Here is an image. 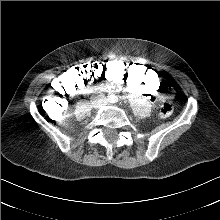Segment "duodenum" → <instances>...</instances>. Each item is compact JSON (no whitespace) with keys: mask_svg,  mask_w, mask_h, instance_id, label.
I'll list each match as a JSON object with an SVG mask.
<instances>
[{"mask_svg":"<svg viewBox=\"0 0 220 220\" xmlns=\"http://www.w3.org/2000/svg\"><path fill=\"white\" fill-rule=\"evenodd\" d=\"M84 90L87 92H96L101 90H106L105 86H99V85H86L84 87Z\"/></svg>","mask_w":220,"mask_h":220,"instance_id":"1","label":"duodenum"}]
</instances>
